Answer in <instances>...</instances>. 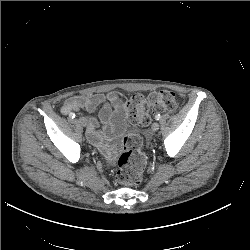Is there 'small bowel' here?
<instances>
[{
    "label": "small bowel",
    "mask_w": 250,
    "mask_h": 250,
    "mask_svg": "<svg viewBox=\"0 0 250 250\" xmlns=\"http://www.w3.org/2000/svg\"><path fill=\"white\" fill-rule=\"evenodd\" d=\"M125 109V100L122 94L110 92L107 94L76 95L68 98L62 105V114H70L79 110H86L89 113L85 119L87 121L86 134L89 141L97 146L109 159L112 155L106 145V137L112 135L115 126L111 123L112 110L117 116H122ZM99 111L98 117L93 113ZM102 125V131L99 130Z\"/></svg>",
    "instance_id": "c3829d8e"
}]
</instances>
